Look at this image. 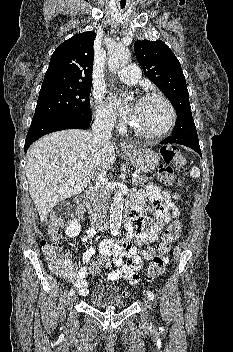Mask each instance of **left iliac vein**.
<instances>
[{
	"instance_id": "4c4485c4",
	"label": "left iliac vein",
	"mask_w": 233,
	"mask_h": 352,
	"mask_svg": "<svg viewBox=\"0 0 233 352\" xmlns=\"http://www.w3.org/2000/svg\"><path fill=\"white\" fill-rule=\"evenodd\" d=\"M143 300H144V303L147 305V307L151 310L152 302H151V299L148 297V295H145Z\"/></svg>"
}]
</instances>
